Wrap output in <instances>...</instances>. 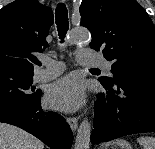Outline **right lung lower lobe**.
<instances>
[{
  "label": "right lung lower lobe",
  "mask_w": 155,
  "mask_h": 149,
  "mask_svg": "<svg viewBox=\"0 0 155 149\" xmlns=\"http://www.w3.org/2000/svg\"><path fill=\"white\" fill-rule=\"evenodd\" d=\"M0 122L18 126L39 138L51 149H70L73 134L59 114L41 108L40 98L29 105H0Z\"/></svg>",
  "instance_id": "98d812e1"
}]
</instances>
